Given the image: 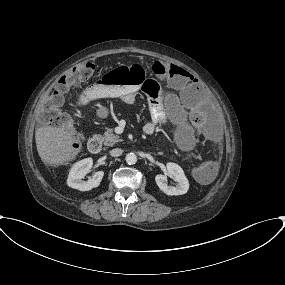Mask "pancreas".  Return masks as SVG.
Wrapping results in <instances>:
<instances>
[{"instance_id": "obj_1", "label": "pancreas", "mask_w": 285, "mask_h": 285, "mask_svg": "<svg viewBox=\"0 0 285 285\" xmlns=\"http://www.w3.org/2000/svg\"><path fill=\"white\" fill-rule=\"evenodd\" d=\"M103 141L106 146H113L114 144L120 142L121 139L119 135L114 134L112 128H109L104 133ZM159 154H163V152H159Z\"/></svg>"}]
</instances>
